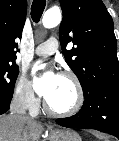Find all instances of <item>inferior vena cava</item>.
Masks as SVG:
<instances>
[{"label":"inferior vena cava","instance_id":"602c4592","mask_svg":"<svg viewBox=\"0 0 119 141\" xmlns=\"http://www.w3.org/2000/svg\"><path fill=\"white\" fill-rule=\"evenodd\" d=\"M30 103L31 96L29 94L14 97L10 105L11 115L21 116L27 120H32V118L26 115V109Z\"/></svg>","mask_w":119,"mask_h":141}]
</instances>
